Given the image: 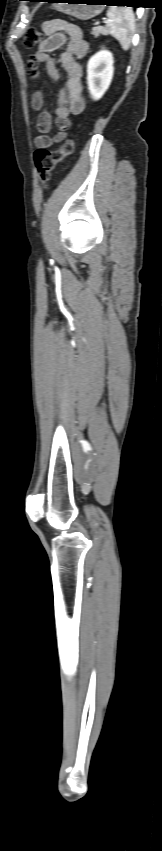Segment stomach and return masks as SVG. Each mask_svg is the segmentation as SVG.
<instances>
[{
  "instance_id": "obj_1",
  "label": "stomach",
  "mask_w": 162,
  "mask_h": 851,
  "mask_svg": "<svg viewBox=\"0 0 162 851\" xmlns=\"http://www.w3.org/2000/svg\"><path fill=\"white\" fill-rule=\"evenodd\" d=\"M53 7L63 13L81 20H88L99 15L104 6V0H55Z\"/></svg>"
}]
</instances>
